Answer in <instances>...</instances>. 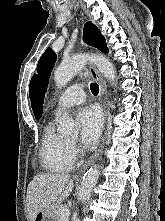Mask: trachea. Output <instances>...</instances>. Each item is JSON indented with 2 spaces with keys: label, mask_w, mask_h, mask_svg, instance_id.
I'll list each match as a JSON object with an SVG mask.
<instances>
[{
  "label": "trachea",
  "mask_w": 165,
  "mask_h": 221,
  "mask_svg": "<svg viewBox=\"0 0 165 221\" xmlns=\"http://www.w3.org/2000/svg\"><path fill=\"white\" fill-rule=\"evenodd\" d=\"M90 90L92 94L97 95L99 93V85L97 83H91Z\"/></svg>",
  "instance_id": "3493384b"
}]
</instances>
